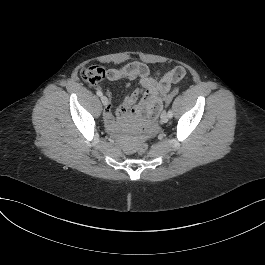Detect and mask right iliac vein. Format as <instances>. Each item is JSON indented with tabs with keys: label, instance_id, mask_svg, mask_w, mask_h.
<instances>
[{
	"label": "right iliac vein",
	"instance_id": "1",
	"mask_svg": "<svg viewBox=\"0 0 265 265\" xmlns=\"http://www.w3.org/2000/svg\"><path fill=\"white\" fill-rule=\"evenodd\" d=\"M101 101H102V103H103L104 106H107L108 103H109L107 97H105V96H102V97H101Z\"/></svg>",
	"mask_w": 265,
	"mask_h": 265
}]
</instances>
